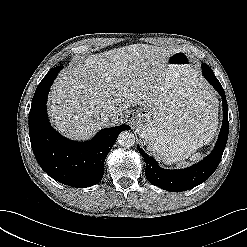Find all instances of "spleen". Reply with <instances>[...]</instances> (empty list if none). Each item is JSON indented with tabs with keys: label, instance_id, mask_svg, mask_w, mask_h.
Listing matches in <instances>:
<instances>
[{
	"label": "spleen",
	"instance_id": "1",
	"mask_svg": "<svg viewBox=\"0 0 247 247\" xmlns=\"http://www.w3.org/2000/svg\"><path fill=\"white\" fill-rule=\"evenodd\" d=\"M210 139H208L205 143L209 142ZM202 154L201 153H195L190 157V161L191 162H186V161H182L180 163H178V167H187L189 166L192 162H198L199 160L202 159ZM169 164V163H167Z\"/></svg>",
	"mask_w": 247,
	"mask_h": 247
}]
</instances>
